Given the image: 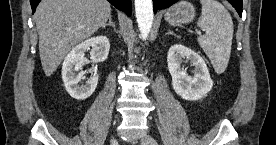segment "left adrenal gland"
Here are the masks:
<instances>
[{
	"instance_id": "left-adrenal-gland-1",
	"label": "left adrenal gland",
	"mask_w": 276,
	"mask_h": 145,
	"mask_svg": "<svg viewBox=\"0 0 276 145\" xmlns=\"http://www.w3.org/2000/svg\"><path fill=\"white\" fill-rule=\"evenodd\" d=\"M168 35H174L175 37H178L176 34H174L173 33V31H171V30H168V33H167Z\"/></svg>"
}]
</instances>
